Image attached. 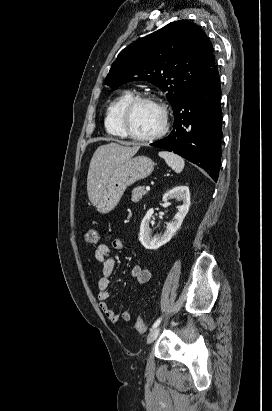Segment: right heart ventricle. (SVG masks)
Listing matches in <instances>:
<instances>
[{
	"label": "right heart ventricle",
	"instance_id": "e07e8e85",
	"mask_svg": "<svg viewBox=\"0 0 272 411\" xmlns=\"http://www.w3.org/2000/svg\"><path fill=\"white\" fill-rule=\"evenodd\" d=\"M131 97H133L132 91L124 90L107 107L104 126L110 135L120 138L126 137L120 125V112Z\"/></svg>",
	"mask_w": 272,
	"mask_h": 411
}]
</instances>
